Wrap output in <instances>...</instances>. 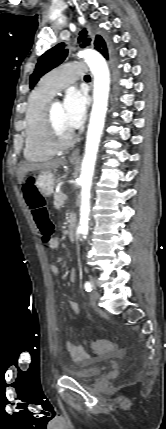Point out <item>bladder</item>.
<instances>
[{"label":"bladder","mask_w":166,"mask_h":429,"mask_svg":"<svg viewBox=\"0 0 166 429\" xmlns=\"http://www.w3.org/2000/svg\"><path fill=\"white\" fill-rule=\"evenodd\" d=\"M104 369L105 366L103 365L90 366L78 370H70L68 371V375L79 381H88L101 375Z\"/></svg>","instance_id":"1"}]
</instances>
